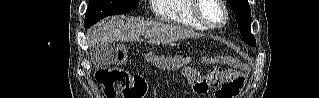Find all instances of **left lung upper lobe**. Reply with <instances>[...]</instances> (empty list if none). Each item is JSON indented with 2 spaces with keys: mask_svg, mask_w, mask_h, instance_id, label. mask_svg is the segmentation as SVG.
<instances>
[{
  "mask_svg": "<svg viewBox=\"0 0 319 98\" xmlns=\"http://www.w3.org/2000/svg\"><path fill=\"white\" fill-rule=\"evenodd\" d=\"M235 18L238 28L242 33V38L251 46L256 45L254 36L251 34V11L247 0H228Z\"/></svg>",
  "mask_w": 319,
  "mask_h": 98,
  "instance_id": "left-lung-upper-lobe-1",
  "label": "left lung upper lobe"
}]
</instances>
